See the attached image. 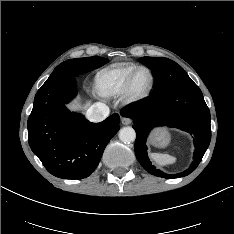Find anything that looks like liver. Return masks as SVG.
Masks as SVG:
<instances>
[{"label": "liver", "instance_id": "liver-1", "mask_svg": "<svg viewBox=\"0 0 234 234\" xmlns=\"http://www.w3.org/2000/svg\"><path fill=\"white\" fill-rule=\"evenodd\" d=\"M88 106H89L88 103L85 105H82L80 103H75V104H72L70 107L73 109H87Z\"/></svg>", "mask_w": 234, "mask_h": 234}]
</instances>
